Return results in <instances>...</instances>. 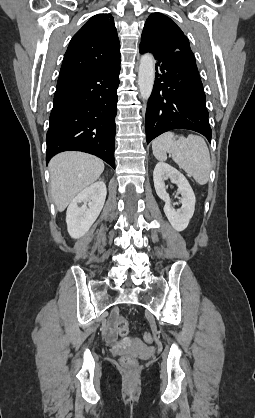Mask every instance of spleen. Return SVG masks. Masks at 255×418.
I'll list each match as a JSON object with an SVG mask.
<instances>
[{
    "label": "spleen",
    "instance_id": "1",
    "mask_svg": "<svg viewBox=\"0 0 255 418\" xmlns=\"http://www.w3.org/2000/svg\"><path fill=\"white\" fill-rule=\"evenodd\" d=\"M177 136L172 132L164 133L152 142L153 154L159 161H166L167 153L188 176L200 184L209 181L211 170L210 153L206 142L200 136L190 134L188 137Z\"/></svg>",
    "mask_w": 255,
    "mask_h": 418
}]
</instances>
